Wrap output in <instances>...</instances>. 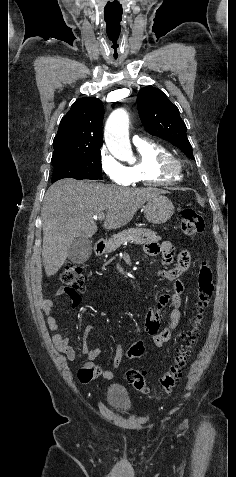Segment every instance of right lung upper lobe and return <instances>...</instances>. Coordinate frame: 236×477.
<instances>
[{"label": "right lung upper lobe", "mask_w": 236, "mask_h": 477, "mask_svg": "<svg viewBox=\"0 0 236 477\" xmlns=\"http://www.w3.org/2000/svg\"><path fill=\"white\" fill-rule=\"evenodd\" d=\"M102 102L93 97L77 100L59 125L53 145L52 161L101 148Z\"/></svg>", "instance_id": "right-lung-upper-lobe-1"}]
</instances>
